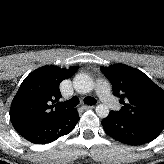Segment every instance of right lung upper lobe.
Returning <instances> with one entry per match:
<instances>
[{"label": "right lung upper lobe", "instance_id": "cb5924a9", "mask_svg": "<svg viewBox=\"0 0 164 164\" xmlns=\"http://www.w3.org/2000/svg\"><path fill=\"white\" fill-rule=\"evenodd\" d=\"M76 71L77 67L44 66L24 79L10 107L11 123L20 135L75 110L61 101L60 83Z\"/></svg>", "mask_w": 164, "mask_h": 164}]
</instances>
